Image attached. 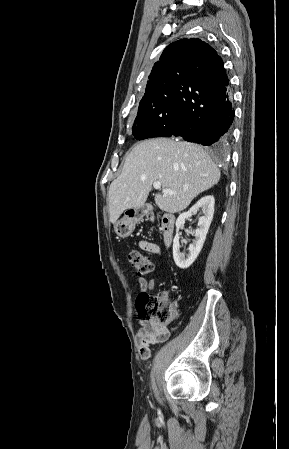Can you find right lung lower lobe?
<instances>
[{"label":"right lung lower lobe","mask_w":289,"mask_h":449,"mask_svg":"<svg viewBox=\"0 0 289 449\" xmlns=\"http://www.w3.org/2000/svg\"><path fill=\"white\" fill-rule=\"evenodd\" d=\"M176 118L152 137L182 136L187 141L222 148L230 136L235 112L224 67L211 79L179 82Z\"/></svg>","instance_id":"obj_1"}]
</instances>
